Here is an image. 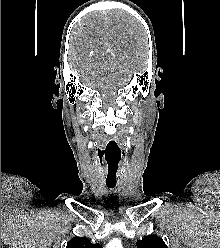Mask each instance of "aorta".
I'll list each match as a JSON object with an SVG mask.
<instances>
[{
	"label": "aorta",
	"instance_id": "762f6f07",
	"mask_svg": "<svg viewBox=\"0 0 220 248\" xmlns=\"http://www.w3.org/2000/svg\"><path fill=\"white\" fill-rule=\"evenodd\" d=\"M106 248H123V247H122L121 241L118 239H115L109 242Z\"/></svg>",
	"mask_w": 220,
	"mask_h": 248
}]
</instances>
